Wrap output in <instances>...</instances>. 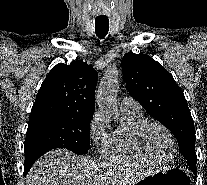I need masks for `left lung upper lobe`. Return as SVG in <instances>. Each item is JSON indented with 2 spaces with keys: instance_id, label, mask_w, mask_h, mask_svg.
Listing matches in <instances>:
<instances>
[{
  "instance_id": "5c2ea615",
  "label": "left lung upper lobe",
  "mask_w": 207,
  "mask_h": 185,
  "mask_svg": "<svg viewBox=\"0 0 207 185\" xmlns=\"http://www.w3.org/2000/svg\"><path fill=\"white\" fill-rule=\"evenodd\" d=\"M123 78L130 95L176 137L192 170L196 167L195 129L184 93L173 76L146 54L122 58Z\"/></svg>"
}]
</instances>
